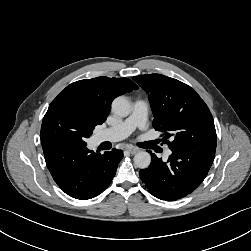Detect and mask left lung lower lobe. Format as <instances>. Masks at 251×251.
I'll return each mask as SVG.
<instances>
[{"mask_svg":"<svg viewBox=\"0 0 251 251\" xmlns=\"http://www.w3.org/2000/svg\"><path fill=\"white\" fill-rule=\"evenodd\" d=\"M215 150L204 146L174 148L167 162L151 153L152 162L140 171L141 180L158 199L175 201L186 197L207 176Z\"/></svg>","mask_w":251,"mask_h":251,"instance_id":"1","label":"left lung lower lobe"}]
</instances>
